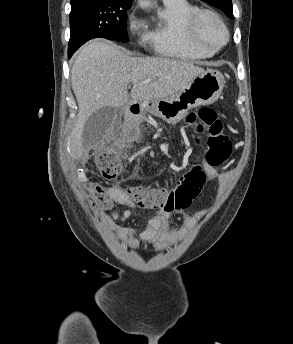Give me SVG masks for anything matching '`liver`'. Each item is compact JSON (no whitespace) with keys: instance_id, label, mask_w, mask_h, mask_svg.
<instances>
[{"instance_id":"1","label":"liver","mask_w":293,"mask_h":344,"mask_svg":"<svg viewBox=\"0 0 293 344\" xmlns=\"http://www.w3.org/2000/svg\"><path fill=\"white\" fill-rule=\"evenodd\" d=\"M203 72V68L187 60L134 58L115 45L90 41L79 52L71 71L72 89L79 106L69 140L71 156L78 159L84 153L82 132L92 113L105 106L121 108L128 103V83L133 84L132 102H144L177 94ZM146 80L149 82L144 83Z\"/></svg>"}]
</instances>
